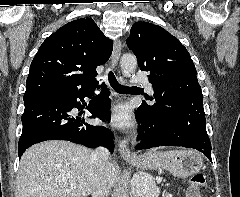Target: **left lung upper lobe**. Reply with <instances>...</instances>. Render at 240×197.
Returning a JSON list of instances; mask_svg holds the SVG:
<instances>
[{
	"mask_svg": "<svg viewBox=\"0 0 240 197\" xmlns=\"http://www.w3.org/2000/svg\"><path fill=\"white\" fill-rule=\"evenodd\" d=\"M127 45L136 55L140 69L150 73L157 103L162 104L181 92L202 95L189 52L168 31L152 23L136 22Z\"/></svg>",
	"mask_w": 240,
	"mask_h": 197,
	"instance_id": "1",
	"label": "left lung upper lobe"
}]
</instances>
